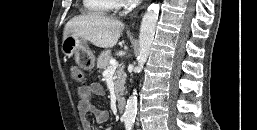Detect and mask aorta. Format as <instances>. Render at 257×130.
Listing matches in <instances>:
<instances>
[{
  "label": "aorta",
  "mask_w": 257,
  "mask_h": 130,
  "mask_svg": "<svg viewBox=\"0 0 257 130\" xmlns=\"http://www.w3.org/2000/svg\"><path fill=\"white\" fill-rule=\"evenodd\" d=\"M159 16V5L151 4L145 12L139 34V54L137 56L136 71L140 73L143 69L145 62L148 59L152 42L154 39L155 28ZM137 113V91L134 90L132 95L127 100L124 112V124L126 130H131L135 121Z\"/></svg>",
  "instance_id": "762f6f07"
}]
</instances>
